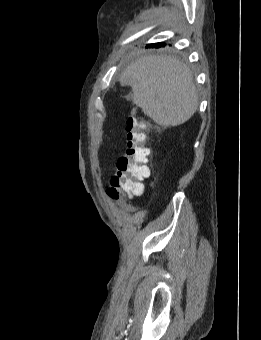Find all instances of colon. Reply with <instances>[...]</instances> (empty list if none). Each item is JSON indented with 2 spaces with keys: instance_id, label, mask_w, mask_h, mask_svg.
I'll return each mask as SVG.
<instances>
[{
  "instance_id": "colon-1",
  "label": "colon",
  "mask_w": 261,
  "mask_h": 340,
  "mask_svg": "<svg viewBox=\"0 0 261 340\" xmlns=\"http://www.w3.org/2000/svg\"><path fill=\"white\" fill-rule=\"evenodd\" d=\"M145 129L146 125L134 117L126 121V154L118 159L117 174L107 190L109 198L120 206L143 192V180L149 176L147 162L150 150L145 143Z\"/></svg>"
}]
</instances>
